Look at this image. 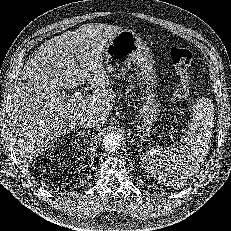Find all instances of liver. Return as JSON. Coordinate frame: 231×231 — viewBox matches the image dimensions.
Segmentation results:
<instances>
[{"mask_svg":"<svg viewBox=\"0 0 231 231\" xmlns=\"http://www.w3.org/2000/svg\"><path fill=\"white\" fill-rule=\"evenodd\" d=\"M121 31L103 23L84 24L47 40L29 57L8 121L10 143L23 160L71 132L83 115L96 119V129L105 124L116 94L109 87L102 54ZM85 80L95 88L92 95L67 102L61 89L78 87Z\"/></svg>","mask_w":231,"mask_h":231,"instance_id":"6515ba94","label":"liver"}]
</instances>
